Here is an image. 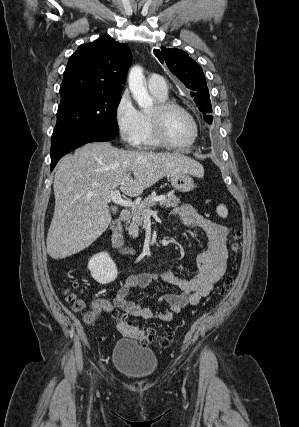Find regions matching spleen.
<instances>
[{
    "instance_id": "1",
    "label": "spleen",
    "mask_w": 299,
    "mask_h": 427,
    "mask_svg": "<svg viewBox=\"0 0 299 427\" xmlns=\"http://www.w3.org/2000/svg\"><path fill=\"white\" fill-rule=\"evenodd\" d=\"M216 212L222 218H226L228 215V210H227L226 206L223 204H221L217 207Z\"/></svg>"
}]
</instances>
